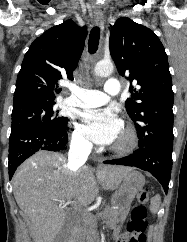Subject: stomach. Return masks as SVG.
<instances>
[{
	"instance_id": "1",
	"label": "stomach",
	"mask_w": 187,
	"mask_h": 242,
	"mask_svg": "<svg viewBox=\"0 0 187 242\" xmlns=\"http://www.w3.org/2000/svg\"><path fill=\"white\" fill-rule=\"evenodd\" d=\"M144 184L145 178L140 172L133 168L127 170L119 189L111 199L112 211L114 212L112 217V227L115 230V234L119 232L120 227L130 210L131 202L135 195L143 188Z\"/></svg>"
}]
</instances>
